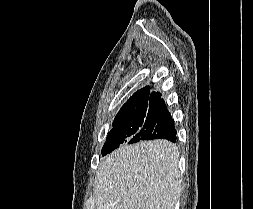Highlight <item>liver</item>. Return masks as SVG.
Masks as SVG:
<instances>
[{"mask_svg":"<svg viewBox=\"0 0 253 209\" xmlns=\"http://www.w3.org/2000/svg\"><path fill=\"white\" fill-rule=\"evenodd\" d=\"M178 147L167 140L122 145L101 160L96 209H175L182 186Z\"/></svg>","mask_w":253,"mask_h":209,"instance_id":"liver-1","label":"liver"}]
</instances>
